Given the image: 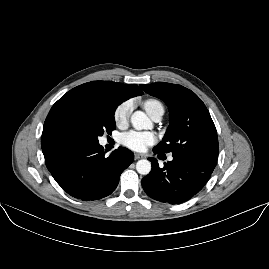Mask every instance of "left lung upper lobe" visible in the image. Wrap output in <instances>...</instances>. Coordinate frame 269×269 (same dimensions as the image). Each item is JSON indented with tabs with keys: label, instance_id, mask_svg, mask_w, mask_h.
Instances as JSON below:
<instances>
[{
	"label": "left lung upper lobe",
	"instance_id": "left-lung-upper-lobe-1",
	"mask_svg": "<svg viewBox=\"0 0 269 269\" xmlns=\"http://www.w3.org/2000/svg\"><path fill=\"white\" fill-rule=\"evenodd\" d=\"M148 94L165 102L170 125L163 140L155 147L160 152L187 158L215 167L218 138L215 125L204 103L191 90L176 84H141Z\"/></svg>",
	"mask_w": 269,
	"mask_h": 269
}]
</instances>
